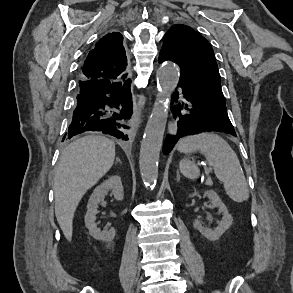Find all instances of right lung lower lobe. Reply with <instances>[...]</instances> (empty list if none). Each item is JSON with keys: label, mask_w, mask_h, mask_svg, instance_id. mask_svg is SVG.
<instances>
[{"label": "right lung lower lobe", "mask_w": 293, "mask_h": 293, "mask_svg": "<svg viewBox=\"0 0 293 293\" xmlns=\"http://www.w3.org/2000/svg\"><path fill=\"white\" fill-rule=\"evenodd\" d=\"M130 83V79L80 81L72 121L64 138L101 131L127 140L124 120L132 114Z\"/></svg>", "instance_id": "98d812e1"}]
</instances>
